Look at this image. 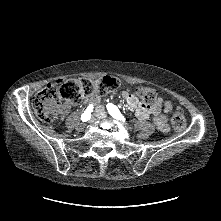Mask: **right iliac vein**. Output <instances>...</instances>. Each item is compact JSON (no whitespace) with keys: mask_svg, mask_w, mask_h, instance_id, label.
Listing matches in <instances>:
<instances>
[{"mask_svg":"<svg viewBox=\"0 0 221 221\" xmlns=\"http://www.w3.org/2000/svg\"><path fill=\"white\" fill-rule=\"evenodd\" d=\"M84 127H85V124H84V123H81V124L78 126V129H79V130H82V129H84Z\"/></svg>","mask_w":221,"mask_h":221,"instance_id":"right-iliac-vein-1","label":"right iliac vein"}]
</instances>
